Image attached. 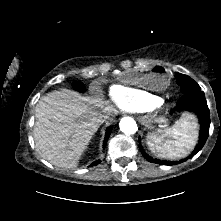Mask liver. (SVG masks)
Segmentation results:
<instances>
[{"label":"liver","instance_id":"6515ba94","mask_svg":"<svg viewBox=\"0 0 221 221\" xmlns=\"http://www.w3.org/2000/svg\"><path fill=\"white\" fill-rule=\"evenodd\" d=\"M114 111L101 94L82 96L63 89L43 96L35 108L34 140L40 156L60 168H75L101 125L100 113Z\"/></svg>","mask_w":221,"mask_h":221}]
</instances>
